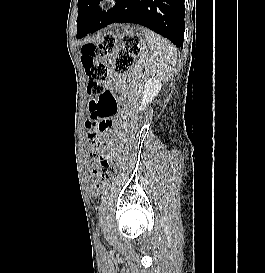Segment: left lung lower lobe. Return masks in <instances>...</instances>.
<instances>
[{
	"instance_id": "left-lung-lower-lobe-1",
	"label": "left lung lower lobe",
	"mask_w": 265,
	"mask_h": 273,
	"mask_svg": "<svg viewBox=\"0 0 265 273\" xmlns=\"http://www.w3.org/2000/svg\"><path fill=\"white\" fill-rule=\"evenodd\" d=\"M184 0H120L108 12L99 7L83 18L77 38L112 23H136L148 27L169 39L176 47H183Z\"/></svg>"
}]
</instances>
